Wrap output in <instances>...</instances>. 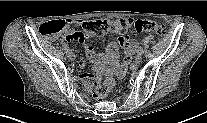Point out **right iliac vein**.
<instances>
[{
    "instance_id": "right-iliac-vein-1",
    "label": "right iliac vein",
    "mask_w": 207,
    "mask_h": 123,
    "mask_svg": "<svg viewBox=\"0 0 207 123\" xmlns=\"http://www.w3.org/2000/svg\"><path fill=\"white\" fill-rule=\"evenodd\" d=\"M68 57H69L71 60H74V59H75V55H74L72 52H70V53L68 54Z\"/></svg>"
}]
</instances>
